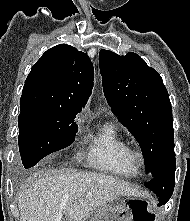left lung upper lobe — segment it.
I'll list each match as a JSON object with an SVG mask.
<instances>
[{
  "mask_svg": "<svg viewBox=\"0 0 190 221\" xmlns=\"http://www.w3.org/2000/svg\"><path fill=\"white\" fill-rule=\"evenodd\" d=\"M104 94L113 113L140 144L154 177L175 158L172 108L161 76L136 53H99Z\"/></svg>",
  "mask_w": 190,
  "mask_h": 221,
  "instance_id": "left-lung-upper-lobe-1",
  "label": "left lung upper lobe"
}]
</instances>
